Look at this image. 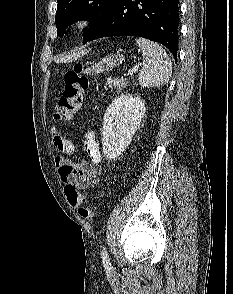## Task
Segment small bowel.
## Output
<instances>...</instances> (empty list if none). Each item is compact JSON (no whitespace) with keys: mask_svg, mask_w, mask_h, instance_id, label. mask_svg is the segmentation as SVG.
Wrapping results in <instances>:
<instances>
[{"mask_svg":"<svg viewBox=\"0 0 233 294\" xmlns=\"http://www.w3.org/2000/svg\"><path fill=\"white\" fill-rule=\"evenodd\" d=\"M85 149L91 159L90 162H74L62 156L55 160L61 180L67 186L76 189H88L95 187L102 173L101 152L92 132H86L83 137ZM53 144L57 150L64 154L74 151L73 143L57 134H54Z\"/></svg>","mask_w":233,"mask_h":294,"instance_id":"obj_1","label":"small bowel"}]
</instances>
